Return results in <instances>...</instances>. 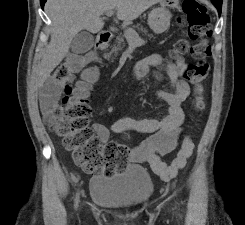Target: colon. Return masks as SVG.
Returning <instances> with one entry per match:
<instances>
[{
	"label": "colon",
	"instance_id": "5ec220e1",
	"mask_svg": "<svg viewBox=\"0 0 245 225\" xmlns=\"http://www.w3.org/2000/svg\"><path fill=\"white\" fill-rule=\"evenodd\" d=\"M181 11L185 19L181 18L179 25L187 29L191 39L198 41L191 48L195 62L185 78L190 79L194 85V108L200 110L203 107L202 82L210 68L207 58L210 52L208 39L211 36V27L205 7L196 0H184ZM188 49L189 45L184 39L175 44V53H186ZM83 56L84 54H76L65 60L45 82V88L50 94H61L52 116L56 123V134L62 139L63 145L72 151L74 161L87 172L111 175L125 169L129 149L122 143L111 141L102 147L90 128L92 113L86 103L87 90L81 83L71 85L74 70L79 67ZM155 76L160 78V72H156ZM90 77L91 74L85 75L86 79ZM192 150V142L185 138L174 160L170 164L156 160L154 171L165 180L173 179L191 156Z\"/></svg>",
	"mask_w": 245,
	"mask_h": 225
}]
</instances>
